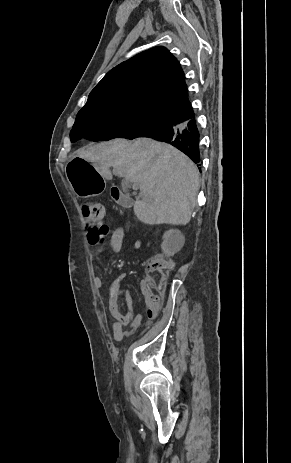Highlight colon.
I'll return each instance as SVG.
<instances>
[{
    "label": "colon",
    "instance_id": "colon-1",
    "mask_svg": "<svg viewBox=\"0 0 291 463\" xmlns=\"http://www.w3.org/2000/svg\"><path fill=\"white\" fill-rule=\"evenodd\" d=\"M82 211L90 229L102 228L106 216L102 204L87 201L83 204ZM171 267L172 263L161 255L151 257L146 263L143 289L146 296V312L150 317L154 318L157 315L162 302L167 273Z\"/></svg>",
    "mask_w": 291,
    "mask_h": 463
}]
</instances>
